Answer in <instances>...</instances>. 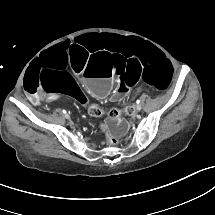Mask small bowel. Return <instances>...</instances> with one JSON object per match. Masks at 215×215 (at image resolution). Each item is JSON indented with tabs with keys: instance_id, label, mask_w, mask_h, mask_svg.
<instances>
[{
	"instance_id": "c3829d8e",
	"label": "small bowel",
	"mask_w": 215,
	"mask_h": 215,
	"mask_svg": "<svg viewBox=\"0 0 215 215\" xmlns=\"http://www.w3.org/2000/svg\"><path fill=\"white\" fill-rule=\"evenodd\" d=\"M118 97H119V96H118ZM31 101H32L34 104H36V103L38 102V97H37V96H33V97L31 98ZM132 108H133V107H132ZM134 112H135V110H134V108H133L131 114H133Z\"/></svg>"
}]
</instances>
